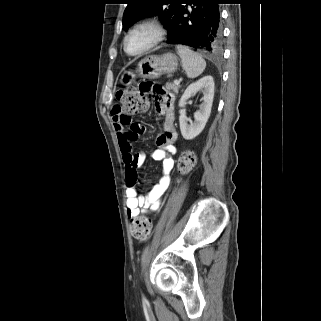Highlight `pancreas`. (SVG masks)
Listing matches in <instances>:
<instances>
[{
	"instance_id": "pancreas-1",
	"label": "pancreas",
	"mask_w": 321,
	"mask_h": 321,
	"mask_svg": "<svg viewBox=\"0 0 321 321\" xmlns=\"http://www.w3.org/2000/svg\"><path fill=\"white\" fill-rule=\"evenodd\" d=\"M166 88L169 89V90H172L175 93H178L180 85L176 84V83H167L166 84Z\"/></svg>"
}]
</instances>
